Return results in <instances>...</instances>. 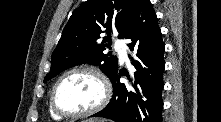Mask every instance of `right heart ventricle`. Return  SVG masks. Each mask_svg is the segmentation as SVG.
I'll use <instances>...</instances> for the list:
<instances>
[{"mask_svg": "<svg viewBox=\"0 0 221 122\" xmlns=\"http://www.w3.org/2000/svg\"><path fill=\"white\" fill-rule=\"evenodd\" d=\"M49 112H50V115L52 116L53 119L55 120H59L61 117L59 115H57L51 108V106H49Z\"/></svg>", "mask_w": 221, "mask_h": 122, "instance_id": "right-heart-ventricle-1", "label": "right heart ventricle"}]
</instances>
